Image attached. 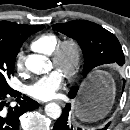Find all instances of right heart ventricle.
I'll use <instances>...</instances> for the list:
<instances>
[{
    "mask_svg": "<svg viewBox=\"0 0 130 130\" xmlns=\"http://www.w3.org/2000/svg\"><path fill=\"white\" fill-rule=\"evenodd\" d=\"M60 38L55 33H43L35 37L31 42V48L37 52L51 55Z\"/></svg>",
    "mask_w": 130,
    "mask_h": 130,
    "instance_id": "e07e8e85",
    "label": "right heart ventricle"
}]
</instances>
